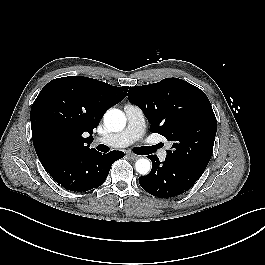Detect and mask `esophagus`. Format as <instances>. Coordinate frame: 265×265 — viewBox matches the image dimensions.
Here are the masks:
<instances>
[{
    "label": "esophagus",
    "instance_id": "esophagus-1",
    "mask_svg": "<svg viewBox=\"0 0 265 265\" xmlns=\"http://www.w3.org/2000/svg\"><path fill=\"white\" fill-rule=\"evenodd\" d=\"M127 156H128L129 158H131L132 160H136V159L139 158V156H137V155H135V154H132V153H128Z\"/></svg>",
    "mask_w": 265,
    "mask_h": 265
}]
</instances>
